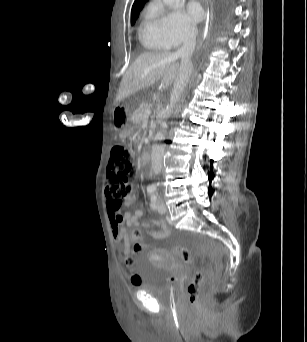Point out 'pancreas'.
Returning <instances> with one entry per match:
<instances>
[{
  "instance_id": "1",
  "label": "pancreas",
  "mask_w": 307,
  "mask_h": 342,
  "mask_svg": "<svg viewBox=\"0 0 307 342\" xmlns=\"http://www.w3.org/2000/svg\"><path fill=\"white\" fill-rule=\"evenodd\" d=\"M149 108H151V104H140V108H138L135 118L140 119L142 116H145V110H149Z\"/></svg>"
}]
</instances>
